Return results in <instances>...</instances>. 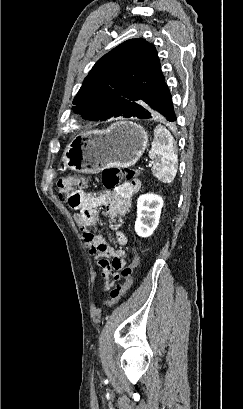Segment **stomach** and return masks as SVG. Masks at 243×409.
I'll return each mask as SVG.
<instances>
[{
  "instance_id": "stomach-1",
  "label": "stomach",
  "mask_w": 243,
  "mask_h": 409,
  "mask_svg": "<svg viewBox=\"0 0 243 409\" xmlns=\"http://www.w3.org/2000/svg\"><path fill=\"white\" fill-rule=\"evenodd\" d=\"M148 145L145 129L131 121H118L105 130L86 131L66 147L65 167L82 173H98L108 167L136 164Z\"/></svg>"
}]
</instances>
